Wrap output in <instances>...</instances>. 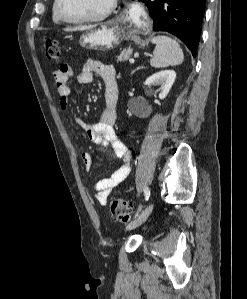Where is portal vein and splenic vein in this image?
Masks as SVG:
<instances>
[{"label":"portal vein and splenic vein","mask_w":247,"mask_h":299,"mask_svg":"<svg viewBox=\"0 0 247 299\" xmlns=\"http://www.w3.org/2000/svg\"><path fill=\"white\" fill-rule=\"evenodd\" d=\"M129 62H130L131 64H133V63L135 62V60H134L133 58H130V59H129Z\"/></svg>","instance_id":"18ae733b"}]
</instances>
